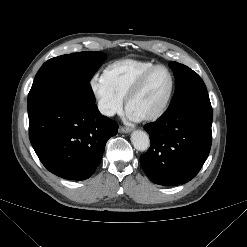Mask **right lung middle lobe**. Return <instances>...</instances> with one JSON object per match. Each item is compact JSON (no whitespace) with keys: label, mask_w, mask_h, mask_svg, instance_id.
Segmentation results:
<instances>
[{"label":"right lung middle lobe","mask_w":247,"mask_h":247,"mask_svg":"<svg viewBox=\"0 0 247 247\" xmlns=\"http://www.w3.org/2000/svg\"><path fill=\"white\" fill-rule=\"evenodd\" d=\"M105 58L106 54L102 52L84 51L48 60L35 76L28 95V106L56 95L95 103L89 82Z\"/></svg>","instance_id":"right-lung-middle-lobe-1"}]
</instances>
